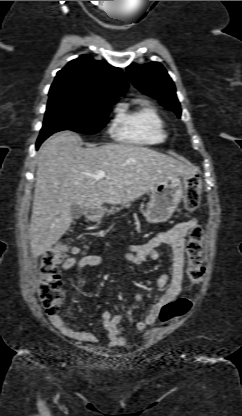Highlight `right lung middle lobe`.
Returning <instances> with one entry per match:
<instances>
[{"instance_id":"obj_1","label":"right lung middle lobe","mask_w":242,"mask_h":416,"mask_svg":"<svg viewBox=\"0 0 242 416\" xmlns=\"http://www.w3.org/2000/svg\"><path fill=\"white\" fill-rule=\"evenodd\" d=\"M115 103L116 101L106 100L49 98L38 139L45 140L62 130L95 134L107 124L111 106Z\"/></svg>"}]
</instances>
